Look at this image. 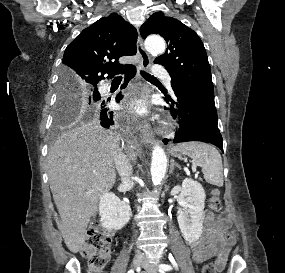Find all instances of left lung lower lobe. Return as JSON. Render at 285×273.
<instances>
[{
	"instance_id": "obj_1",
	"label": "left lung lower lobe",
	"mask_w": 285,
	"mask_h": 273,
	"mask_svg": "<svg viewBox=\"0 0 285 273\" xmlns=\"http://www.w3.org/2000/svg\"><path fill=\"white\" fill-rule=\"evenodd\" d=\"M177 100L170 97L169 109L174 119L179 120V130L174 143L184 141H204L219 147L223 151L222 136L217 126V111L214 103V92H197L174 90ZM164 139V144L168 143Z\"/></svg>"
}]
</instances>
